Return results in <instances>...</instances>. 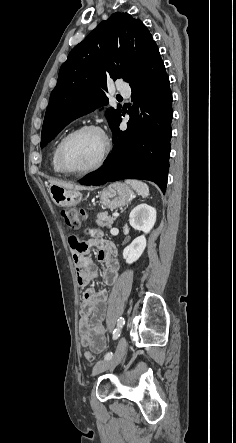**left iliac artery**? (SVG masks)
Here are the masks:
<instances>
[{
	"label": "left iliac artery",
	"instance_id": "obj_1",
	"mask_svg": "<svg viewBox=\"0 0 236 443\" xmlns=\"http://www.w3.org/2000/svg\"><path fill=\"white\" fill-rule=\"evenodd\" d=\"M124 324H125V320H124V318H123V317H120V318L118 319V322H117V327H116V329H114V331H113V336H112V338H113L114 340H116V339L120 336V334H121V329L123 328ZM112 356H113V353H112V352H108V353L104 356V359H105V360H108V359L112 358Z\"/></svg>",
	"mask_w": 236,
	"mask_h": 443
}]
</instances>
